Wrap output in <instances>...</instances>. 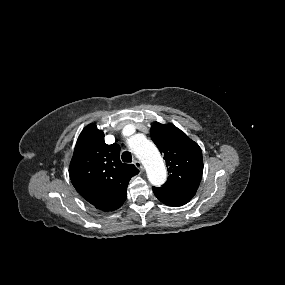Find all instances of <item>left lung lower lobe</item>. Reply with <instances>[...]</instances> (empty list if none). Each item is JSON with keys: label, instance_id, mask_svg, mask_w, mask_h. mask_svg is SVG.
<instances>
[{"label": "left lung lower lobe", "instance_id": "obj_1", "mask_svg": "<svg viewBox=\"0 0 285 285\" xmlns=\"http://www.w3.org/2000/svg\"><path fill=\"white\" fill-rule=\"evenodd\" d=\"M155 196L164 204L168 206H182L188 203L196 192L173 189L167 187H153Z\"/></svg>", "mask_w": 285, "mask_h": 285}]
</instances>
